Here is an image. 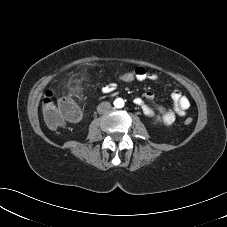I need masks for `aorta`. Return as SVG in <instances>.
<instances>
[{
    "label": "aorta",
    "mask_w": 227,
    "mask_h": 227,
    "mask_svg": "<svg viewBox=\"0 0 227 227\" xmlns=\"http://www.w3.org/2000/svg\"><path fill=\"white\" fill-rule=\"evenodd\" d=\"M114 106L116 108H122L124 106V101L121 98H118L114 101Z\"/></svg>",
    "instance_id": "obj_1"
}]
</instances>
